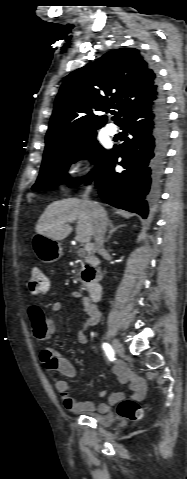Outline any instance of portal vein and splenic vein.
<instances>
[{
    "mask_svg": "<svg viewBox=\"0 0 187 479\" xmlns=\"http://www.w3.org/2000/svg\"><path fill=\"white\" fill-rule=\"evenodd\" d=\"M85 251L90 252L93 249V245L90 243H87L84 247Z\"/></svg>",
    "mask_w": 187,
    "mask_h": 479,
    "instance_id": "portal-vein-and-splenic-vein-1",
    "label": "portal vein and splenic vein"
}]
</instances>
